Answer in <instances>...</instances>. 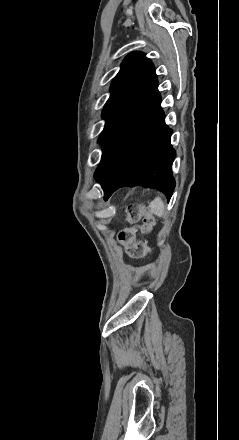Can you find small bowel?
Returning <instances> with one entry per match:
<instances>
[{
	"label": "small bowel",
	"instance_id": "small-bowel-1",
	"mask_svg": "<svg viewBox=\"0 0 239 440\" xmlns=\"http://www.w3.org/2000/svg\"><path fill=\"white\" fill-rule=\"evenodd\" d=\"M130 247H131V244H129V249H130Z\"/></svg>",
	"mask_w": 239,
	"mask_h": 440
}]
</instances>
